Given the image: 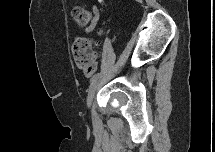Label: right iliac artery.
Instances as JSON below:
<instances>
[{"mask_svg": "<svg viewBox=\"0 0 215 152\" xmlns=\"http://www.w3.org/2000/svg\"><path fill=\"white\" fill-rule=\"evenodd\" d=\"M98 76H99V73L93 75V77H92L91 80H90V84H91V85H92L94 82H96Z\"/></svg>", "mask_w": 215, "mask_h": 152, "instance_id": "obj_1", "label": "right iliac artery"}]
</instances>
